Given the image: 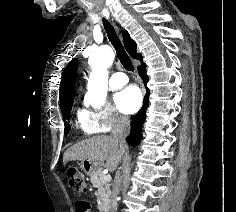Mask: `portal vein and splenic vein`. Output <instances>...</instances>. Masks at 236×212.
I'll return each instance as SVG.
<instances>
[{
  "label": "portal vein and splenic vein",
  "mask_w": 236,
  "mask_h": 212,
  "mask_svg": "<svg viewBox=\"0 0 236 212\" xmlns=\"http://www.w3.org/2000/svg\"><path fill=\"white\" fill-rule=\"evenodd\" d=\"M103 178H104V180H110L111 176L108 174V175H104Z\"/></svg>",
  "instance_id": "18ae733b"
}]
</instances>
